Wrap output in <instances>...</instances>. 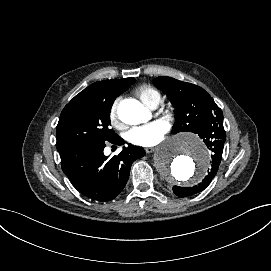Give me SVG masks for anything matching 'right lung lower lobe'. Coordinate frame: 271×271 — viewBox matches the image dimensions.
<instances>
[{
    "mask_svg": "<svg viewBox=\"0 0 271 271\" xmlns=\"http://www.w3.org/2000/svg\"><path fill=\"white\" fill-rule=\"evenodd\" d=\"M122 145L118 136L111 141ZM105 143H81L62 151V170L72 185L85 197L107 202L119 195L129 178L132 163L145 155L141 147L129 145L110 160L104 155Z\"/></svg>",
    "mask_w": 271,
    "mask_h": 271,
    "instance_id": "obj_1",
    "label": "right lung lower lobe"
}]
</instances>
